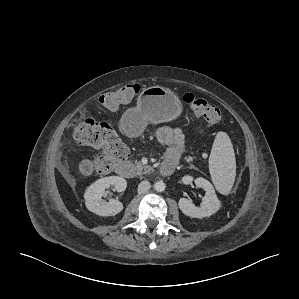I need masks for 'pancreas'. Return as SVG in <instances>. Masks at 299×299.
<instances>
[{
    "label": "pancreas",
    "mask_w": 299,
    "mask_h": 299,
    "mask_svg": "<svg viewBox=\"0 0 299 299\" xmlns=\"http://www.w3.org/2000/svg\"><path fill=\"white\" fill-rule=\"evenodd\" d=\"M194 159L195 158H193L191 156L185 157V161H187V162H193ZM134 164H135V167H136V174L137 175L146 174V173H148L152 170V168L150 166H144L138 161H135ZM191 168H192V166H191Z\"/></svg>",
    "instance_id": "1"
}]
</instances>
